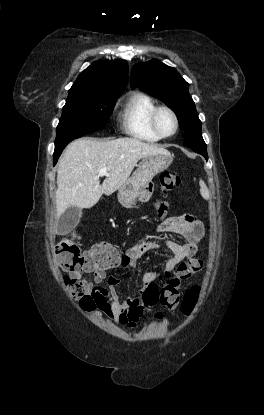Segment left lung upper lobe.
<instances>
[{"mask_svg":"<svg viewBox=\"0 0 264 415\" xmlns=\"http://www.w3.org/2000/svg\"><path fill=\"white\" fill-rule=\"evenodd\" d=\"M131 87L162 100L176 114L181 129L184 130V145H206L201 132V121L189 94V84L175 68L153 59L133 66Z\"/></svg>","mask_w":264,"mask_h":415,"instance_id":"5c2ea615","label":"left lung upper lobe"}]
</instances>
